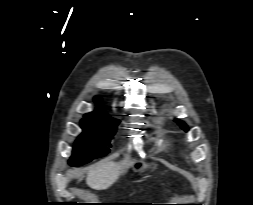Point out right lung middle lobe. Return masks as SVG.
Masks as SVG:
<instances>
[{"mask_svg": "<svg viewBox=\"0 0 253 205\" xmlns=\"http://www.w3.org/2000/svg\"><path fill=\"white\" fill-rule=\"evenodd\" d=\"M118 123L119 120L111 117L99 119L85 116L81 120L83 132L75 142L69 164L81 165L106 155L109 152L106 144L114 135Z\"/></svg>", "mask_w": 253, "mask_h": 205, "instance_id": "obj_1", "label": "right lung middle lobe"}]
</instances>
